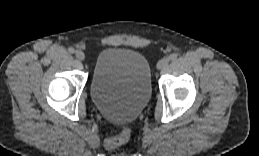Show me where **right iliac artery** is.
Listing matches in <instances>:
<instances>
[{
  "instance_id": "82829eb1",
  "label": "right iliac artery",
  "mask_w": 259,
  "mask_h": 156,
  "mask_svg": "<svg viewBox=\"0 0 259 156\" xmlns=\"http://www.w3.org/2000/svg\"><path fill=\"white\" fill-rule=\"evenodd\" d=\"M68 51H69V53H71V54L75 53V49H74L73 47H70V48L68 49Z\"/></svg>"
}]
</instances>
